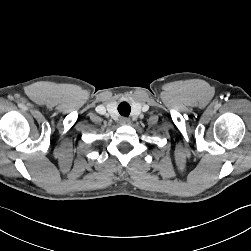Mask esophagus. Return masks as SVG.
I'll use <instances>...</instances> for the list:
<instances>
[{"label": "esophagus", "instance_id": "34e87169", "mask_svg": "<svg viewBox=\"0 0 251 251\" xmlns=\"http://www.w3.org/2000/svg\"><path fill=\"white\" fill-rule=\"evenodd\" d=\"M120 124L128 125V124H130V120L128 118H121Z\"/></svg>", "mask_w": 251, "mask_h": 251}]
</instances>
